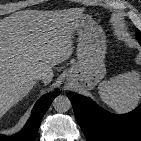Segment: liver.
Returning a JSON list of instances; mask_svg holds the SVG:
<instances>
[{
    "label": "liver",
    "instance_id": "1",
    "mask_svg": "<svg viewBox=\"0 0 141 141\" xmlns=\"http://www.w3.org/2000/svg\"><path fill=\"white\" fill-rule=\"evenodd\" d=\"M82 12L24 10L0 20V117L31 91L34 73L52 80V67L71 56Z\"/></svg>",
    "mask_w": 141,
    "mask_h": 141
}]
</instances>
